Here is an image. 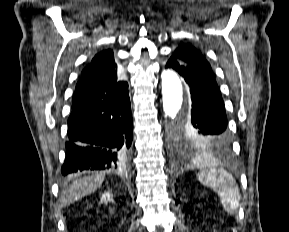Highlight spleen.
I'll list each match as a JSON object with an SVG mask.
<instances>
[{
	"label": "spleen",
	"instance_id": "3e777b00",
	"mask_svg": "<svg viewBox=\"0 0 289 232\" xmlns=\"http://www.w3.org/2000/svg\"><path fill=\"white\" fill-rule=\"evenodd\" d=\"M198 180L213 189L219 196L223 208L229 214H235L239 208L240 190L234 177L222 167L212 165L202 168Z\"/></svg>",
	"mask_w": 289,
	"mask_h": 232
}]
</instances>
